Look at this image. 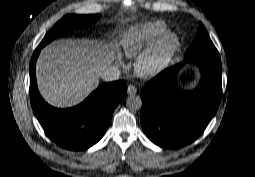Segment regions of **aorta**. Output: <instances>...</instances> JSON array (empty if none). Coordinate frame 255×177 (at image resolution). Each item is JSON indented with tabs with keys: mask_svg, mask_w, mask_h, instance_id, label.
Returning <instances> with one entry per match:
<instances>
[{
	"mask_svg": "<svg viewBox=\"0 0 255 177\" xmlns=\"http://www.w3.org/2000/svg\"><path fill=\"white\" fill-rule=\"evenodd\" d=\"M126 106L131 111H137L142 108V100L139 96L130 95L126 99Z\"/></svg>",
	"mask_w": 255,
	"mask_h": 177,
	"instance_id": "obj_1",
	"label": "aorta"
}]
</instances>
